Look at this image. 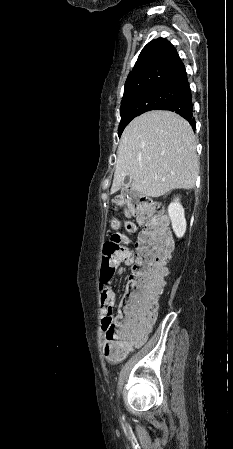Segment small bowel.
<instances>
[{"instance_id":"obj_1","label":"small bowel","mask_w":233,"mask_h":449,"mask_svg":"<svg viewBox=\"0 0 233 449\" xmlns=\"http://www.w3.org/2000/svg\"><path fill=\"white\" fill-rule=\"evenodd\" d=\"M135 229L136 228L133 227V230H135ZM134 263H135L134 256L131 252H129L128 256L121 258V260L116 265L114 271L112 273H110L108 277H104L103 281L101 280L102 283L100 286V300H101V306L104 308L105 313H107L114 306V304L116 302V294L111 287V282H112L114 274L116 273L117 268L120 269L121 265L132 266V265H134ZM154 320H155V317L151 318L150 320H148L147 322L143 323L140 326V328L136 332L134 342L127 347L125 353L133 350L134 348L140 347L145 342V340L147 339V336L152 328V324H153ZM103 327H104V324H103ZM116 344L117 343H115V345Z\"/></svg>"}]
</instances>
